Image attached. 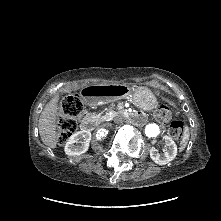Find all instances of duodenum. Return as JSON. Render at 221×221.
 I'll use <instances>...</instances> for the list:
<instances>
[{"mask_svg":"<svg viewBox=\"0 0 221 221\" xmlns=\"http://www.w3.org/2000/svg\"><path fill=\"white\" fill-rule=\"evenodd\" d=\"M125 93V88L122 86H105L98 85L85 86L81 90V97L89 104L96 105L97 103L113 101L117 96ZM127 118L132 122L139 123L143 115L140 112H128ZM80 126L83 131H90L93 126V120L90 117H83L80 120Z\"/></svg>","mask_w":221,"mask_h":221,"instance_id":"1","label":"duodenum"}]
</instances>
